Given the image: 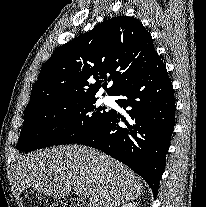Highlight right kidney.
I'll use <instances>...</instances> for the list:
<instances>
[{"instance_id":"obj_1","label":"right kidney","mask_w":206,"mask_h":207,"mask_svg":"<svg viewBox=\"0 0 206 207\" xmlns=\"http://www.w3.org/2000/svg\"><path fill=\"white\" fill-rule=\"evenodd\" d=\"M121 207H137L136 203H128V204H123Z\"/></svg>"}]
</instances>
